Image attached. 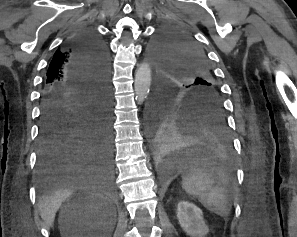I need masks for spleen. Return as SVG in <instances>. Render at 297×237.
Returning a JSON list of instances; mask_svg holds the SVG:
<instances>
[{
	"mask_svg": "<svg viewBox=\"0 0 297 237\" xmlns=\"http://www.w3.org/2000/svg\"><path fill=\"white\" fill-rule=\"evenodd\" d=\"M182 188L198 198L209 211L225 217L229 214L226 183L218 172L207 168H194L182 178Z\"/></svg>",
	"mask_w": 297,
	"mask_h": 237,
	"instance_id": "3e777b00",
	"label": "spleen"
}]
</instances>
